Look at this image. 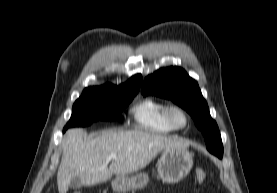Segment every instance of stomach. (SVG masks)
Returning <instances> with one entry per match:
<instances>
[{
  "mask_svg": "<svg viewBox=\"0 0 277 193\" xmlns=\"http://www.w3.org/2000/svg\"><path fill=\"white\" fill-rule=\"evenodd\" d=\"M192 166L193 158L187 148L164 149L157 164L158 176L162 182L174 184L187 176ZM148 180L146 173L118 175L112 181V188L117 193H126L145 187Z\"/></svg>",
  "mask_w": 277,
  "mask_h": 193,
  "instance_id": "obj_1",
  "label": "stomach"
}]
</instances>
